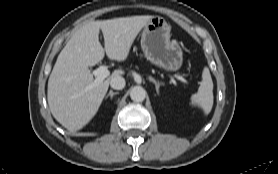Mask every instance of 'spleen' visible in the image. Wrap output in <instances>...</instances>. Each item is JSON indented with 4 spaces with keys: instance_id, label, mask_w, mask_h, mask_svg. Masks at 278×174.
<instances>
[{
    "instance_id": "spleen-1",
    "label": "spleen",
    "mask_w": 278,
    "mask_h": 174,
    "mask_svg": "<svg viewBox=\"0 0 278 174\" xmlns=\"http://www.w3.org/2000/svg\"><path fill=\"white\" fill-rule=\"evenodd\" d=\"M213 81L207 67L202 72V82L196 94L191 96V104L200 106L205 114H209L213 106Z\"/></svg>"
}]
</instances>
